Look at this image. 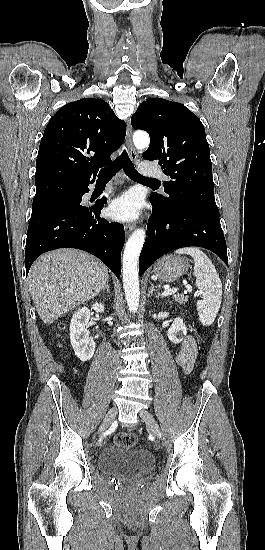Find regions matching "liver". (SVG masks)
<instances>
[{"label": "liver", "instance_id": "liver-1", "mask_svg": "<svg viewBox=\"0 0 265 550\" xmlns=\"http://www.w3.org/2000/svg\"><path fill=\"white\" fill-rule=\"evenodd\" d=\"M108 281L103 262L84 251L67 248L43 254L29 273L31 297L45 324L94 298Z\"/></svg>", "mask_w": 265, "mask_h": 550}]
</instances>
